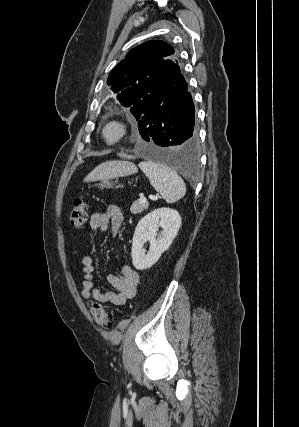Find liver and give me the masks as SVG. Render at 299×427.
<instances>
[{
    "mask_svg": "<svg viewBox=\"0 0 299 427\" xmlns=\"http://www.w3.org/2000/svg\"><path fill=\"white\" fill-rule=\"evenodd\" d=\"M137 171L136 166L127 161H106L94 168L85 178L84 182L104 180L107 178L126 176Z\"/></svg>",
    "mask_w": 299,
    "mask_h": 427,
    "instance_id": "6515ba94",
    "label": "liver"
}]
</instances>
